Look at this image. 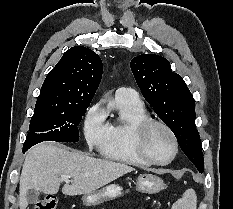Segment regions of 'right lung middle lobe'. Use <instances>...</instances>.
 I'll return each mask as SVG.
<instances>
[{"mask_svg": "<svg viewBox=\"0 0 233 209\" xmlns=\"http://www.w3.org/2000/svg\"><path fill=\"white\" fill-rule=\"evenodd\" d=\"M90 104L64 111L34 110L23 152L42 141L78 142V125Z\"/></svg>", "mask_w": 233, "mask_h": 209, "instance_id": "1", "label": "right lung middle lobe"}]
</instances>
